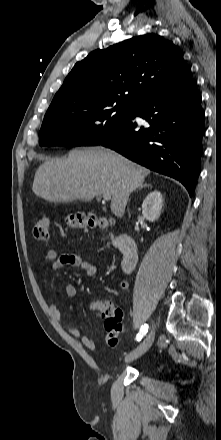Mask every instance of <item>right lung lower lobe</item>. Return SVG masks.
Instances as JSON below:
<instances>
[{"label":"right lung lower lobe","mask_w":221,"mask_h":440,"mask_svg":"<svg viewBox=\"0 0 221 440\" xmlns=\"http://www.w3.org/2000/svg\"><path fill=\"white\" fill-rule=\"evenodd\" d=\"M136 116L147 124H138ZM203 135L201 95L191 79L138 103L129 119L100 145L177 179L192 196L200 173Z\"/></svg>","instance_id":"1"}]
</instances>
